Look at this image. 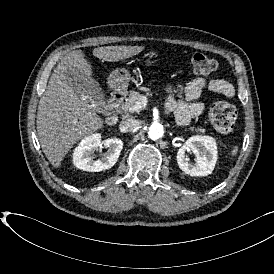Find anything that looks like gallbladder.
Returning a JSON list of instances; mask_svg holds the SVG:
<instances>
[{
    "mask_svg": "<svg viewBox=\"0 0 274 274\" xmlns=\"http://www.w3.org/2000/svg\"><path fill=\"white\" fill-rule=\"evenodd\" d=\"M66 82L73 86L75 93L82 97L89 106L90 112L95 116H102L108 110V103L104 93L95 79L78 67H71L65 73Z\"/></svg>",
    "mask_w": 274,
    "mask_h": 274,
    "instance_id": "obj_1",
    "label": "gallbladder"
}]
</instances>
